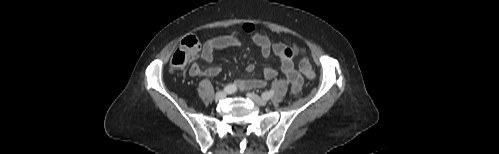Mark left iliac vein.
<instances>
[{"mask_svg":"<svg viewBox=\"0 0 499 154\" xmlns=\"http://www.w3.org/2000/svg\"><path fill=\"white\" fill-rule=\"evenodd\" d=\"M246 96L248 99H250L252 102H254L255 104H257L259 106H265L267 104L266 99L261 98L254 93H247Z\"/></svg>","mask_w":499,"mask_h":154,"instance_id":"4c4485c4","label":"left iliac vein"}]
</instances>
